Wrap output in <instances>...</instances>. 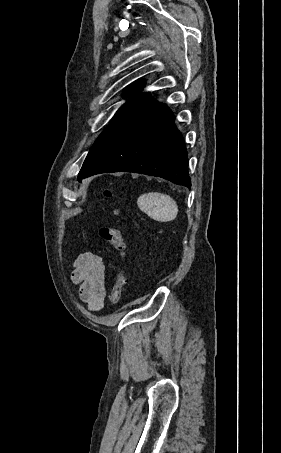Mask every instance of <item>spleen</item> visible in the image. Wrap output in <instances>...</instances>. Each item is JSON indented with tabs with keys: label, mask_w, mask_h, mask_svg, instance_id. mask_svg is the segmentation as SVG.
Here are the masks:
<instances>
[{
	"label": "spleen",
	"mask_w": 281,
	"mask_h": 453,
	"mask_svg": "<svg viewBox=\"0 0 281 453\" xmlns=\"http://www.w3.org/2000/svg\"><path fill=\"white\" fill-rule=\"evenodd\" d=\"M140 210L146 212L150 218L160 220V222H167V220H174L178 214V206L168 194L162 192H146L141 194L137 200Z\"/></svg>",
	"instance_id": "1"
}]
</instances>
